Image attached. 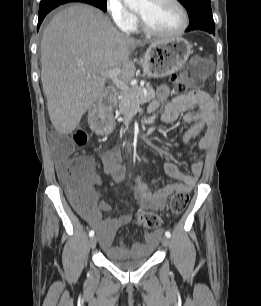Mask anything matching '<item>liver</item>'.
<instances>
[{
    "label": "liver",
    "instance_id": "liver-1",
    "mask_svg": "<svg viewBox=\"0 0 261 306\" xmlns=\"http://www.w3.org/2000/svg\"><path fill=\"white\" fill-rule=\"evenodd\" d=\"M147 41L120 33L99 9L75 4L58 12L41 41V81L50 120L61 134L72 133L101 97V73L120 68V79L135 75L130 53Z\"/></svg>",
    "mask_w": 261,
    "mask_h": 306
}]
</instances>
